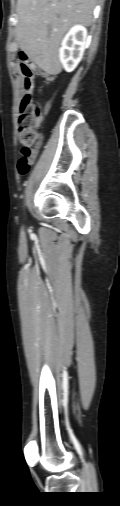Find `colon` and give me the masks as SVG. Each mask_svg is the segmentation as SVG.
<instances>
[{"mask_svg":"<svg viewBox=\"0 0 120 506\" xmlns=\"http://www.w3.org/2000/svg\"><path fill=\"white\" fill-rule=\"evenodd\" d=\"M16 57L21 63L25 89V93L22 96L20 104L19 140L22 147L20 149V158L18 160V171L21 175H26L30 170L36 149L40 145L38 127L41 121V112L35 106L30 94L33 78L34 76L39 75L40 72L30 63L31 59L27 50H18L16 52ZM42 75L45 76L44 74ZM46 78L49 81L52 80L50 77Z\"/></svg>","mask_w":120,"mask_h":506,"instance_id":"obj_1","label":"colon"}]
</instances>
